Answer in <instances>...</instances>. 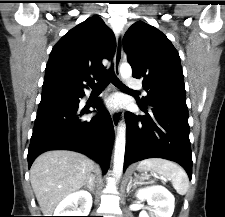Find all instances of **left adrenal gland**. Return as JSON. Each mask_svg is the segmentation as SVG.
Instances as JSON below:
<instances>
[{
	"instance_id": "obj_1",
	"label": "left adrenal gland",
	"mask_w": 225,
	"mask_h": 217,
	"mask_svg": "<svg viewBox=\"0 0 225 217\" xmlns=\"http://www.w3.org/2000/svg\"><path fill=\"white\" fill-rule=\"evenodd\" d=\"M133 184H132V177L130 178V181L127 185V192L129 193L130 189L132 188Z\"/></svg>"
}]
</instances>
